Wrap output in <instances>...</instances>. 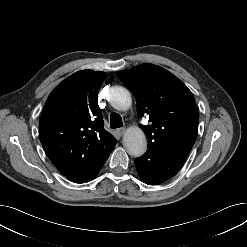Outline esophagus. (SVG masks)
<instances>
[{"mask_svg":"<svg viewBox=\"0 0 247 247\" xmlns=\"http://www.w3.org/2000/svg\"><path fill=\"white\" fill-rule=\"evenodd\" d=\"M116 132L119 136H122L125 132V128L124 127L118 128L116 129Z\"/></svg>","mask_w":247,"mask_h":247,"instance_id":"obj_1","label":"esophagus"}]
</instances>
